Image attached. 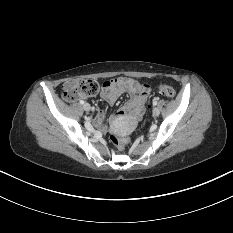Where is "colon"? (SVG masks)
I'll return each mask as SVG.
<instances>
[{"instance_id": "obj_1", "label": "colon", "mask_w": 233, "mask_h": 233, "mask_svg": "<svg viewBox=\"0 0 233 233\" xmlns=\"http://www.w3.org/2000/svg\"><path fill=\"white\" fill-rule=\"evenodd\" d=\"M99 90L100 84L96 80L76 78L68 80L63 84L62 95L66 101L72 102L79 97L94 96L99 92ZM158 92L160 95L168 98H174L176 96V91L174 88L166 84H160L158 86ZM110 141L116 148L122 149L127 140L113 134L110 136Z\"/></svg>"}]
</instances>
